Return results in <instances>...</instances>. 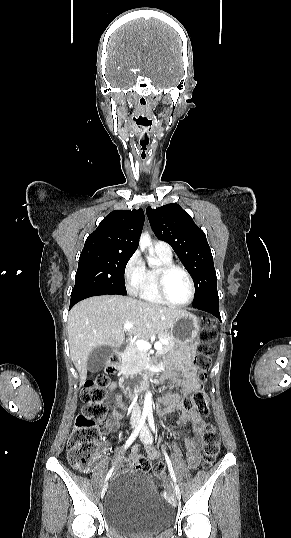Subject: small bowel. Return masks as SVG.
Segmentation results:
<instances>
[{
	"label": "small bowel",
	"instance_id": "small-bowel-1",
	"mask_svg": "<svg viewBox=\"0 0 291 538\" xmlns=\"http://www.w3.org/2000/svg\"><path fill=\"white\" fill-rule=\"evenodd\" d=\"M193 354L194 349L188 348L183 350L180 354L168 359V371L166 377L179 388V392L168 393L160 397L157 404L160 416H166L181 409L184 401L199 389V383L192 365ZM120 382L121 378L112 381L108 386L109 392L113 393ZM109 404L111 406V419H109L107 423L111 426L114 422L123 419V414L120 411H125L127 406L120 394L111 395ZM187 423L191 424L194 436L192 438L184 439L186 461L190 468L195 469L201 461L200 451L205 434V422L199 414L183 411L178 424L183 426ZM159 456L160 453L156 449L147 447V457L149 460H153ZM141 458L140 448L135 445L131 449L129 459L123 460L121 465L127 467L131 463H137Z\"/></svg>",
	"mask_w": 291,
	"mask_h": 538
}]
</instances>
